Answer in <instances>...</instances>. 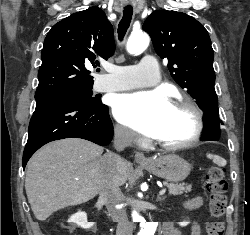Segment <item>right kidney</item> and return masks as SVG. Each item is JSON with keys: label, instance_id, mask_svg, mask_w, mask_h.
Returning a JSON list of instances; mask_svg holds the SVG:
<instances>
[{"label": "right kidney", "instance_id": "ca27d5eb", "mask_svg": "<svg viewBox=\"0 0 250 235\" xmlns=\"http://www.w3.org/2000/svg\"><path fill=\"white\" fill-rule=\"evenodd\" d=\"M68 222L76 224L77 226H80L83 229H89L93 226L92 222L87 221V214L81 211L72 215L69 218Z\"/></svg>", "mask_w": 250, "mask_h": 235}]
</instances>
